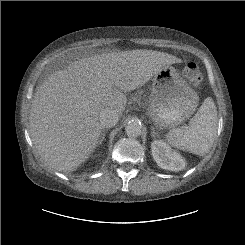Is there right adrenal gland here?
<instances>
[{"instance_id": "obj_1", "label": "right adrenal gland", "mask_w": 245, "mask_h": 245, "mask_svg": "<svg viewBox=\"0 0 245 245\" xmlns=\"http://www.w3.org/2000/svg\"><path fill=\"white\" fill-rule=\"evenodd\" d=\"M104 138H105V129H103V131L101 133V136H100V139H99V144H102Z\"/></svg>"}]
</instances>
